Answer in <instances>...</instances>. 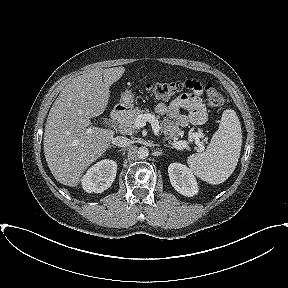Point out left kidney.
<instances>
[{"label": "left kidney", "mask_w": 288, "mask_h": 288, "mask_svg": "<svg viewBox=\"0 0 288 288\" xmlns=\"http://www.w3.org/2000/svg\"><path fill=\"white\" fill-rule=\"evenodd\" d=\"M170 182L174 189L184 196L191 197L198 192L193 173L181 163H172L168 167Z\"/></svg>", "instance_id": "obj_1"}]
</instances>
